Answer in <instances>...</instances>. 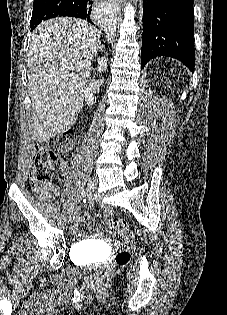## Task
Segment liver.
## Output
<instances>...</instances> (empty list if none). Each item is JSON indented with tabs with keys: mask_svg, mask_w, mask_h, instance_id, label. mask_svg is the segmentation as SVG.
<instances>
[{
	"mask_svg": "<svg viewBox=\"0 0 227 315\" xmlns=\"http://www.w3.org/2000/svg\"><path fill=\"white\" fill-rule=\"evenodd\" d=\"M99 43L97 28L68 17L42 22L31 34L27 79L37 141H48L75 123Z\"/></svg>",
	"mask_w": 227,
	"mask_h": 315,
	"instance_id": "liver-1",
	"label": "liver"
}]
</instances>
